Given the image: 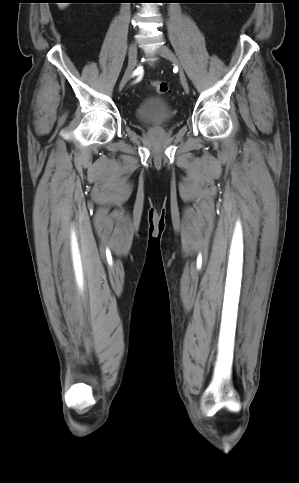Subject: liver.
<instances>
[{
	"label": "liver",
	"mask_w": 299,
	"mask_h": 483,
	"mask_svg": "<svg viewBox=\"0 0 299 483\" xmlns=\"http://www.w3.org/2000/svg\"><path fill=\"white\" fill-rule=\"evenodd\" d=\"M59 7L62 9V8H65L68 3H58Z\"/></svg>",
	"instance_id": "obj_1"
}]
</instances>
